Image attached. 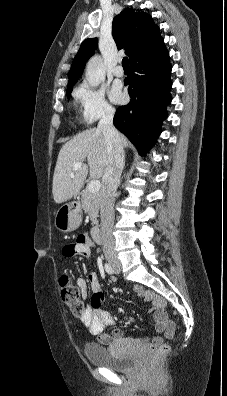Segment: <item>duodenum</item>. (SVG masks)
Returning <instances> with one entry per match:
<instances>
[{
	"mask_svg": "<svg viewBox=\"0 0 227 396\" xmlns=\"http://www.w3.org/2000/svg\"><path fill=\"white\" fill-rule=\"evenodd\" d=\"M74 205H75V207H79L80 204H79V202H76ZM91 234H92L93 240L96 243L102 242V232H101V228L99 226H94L92 228Z\"/></svg>",
	"mask_w": 227,
	"mask_h": 396,
	"instance_id": "obj_1",
	"label": "duodenum"
}]
</instances>
